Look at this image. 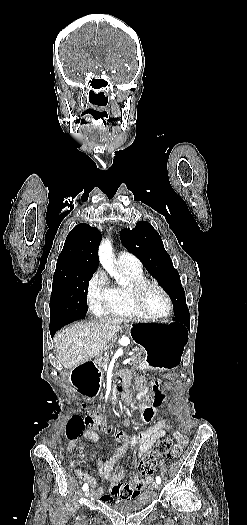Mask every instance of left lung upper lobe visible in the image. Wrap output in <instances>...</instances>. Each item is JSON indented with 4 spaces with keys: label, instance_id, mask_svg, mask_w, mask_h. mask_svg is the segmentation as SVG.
<instances>
[{
    "label": "left lung upper lobe",
    "instance_id": "left-lung-upper-lobe-1",
    "mask_svg": "<svg viewBox=\"0 0 247 525\" xmlns=\"http://www.w3.org/2000/svg\"><path fill=\"white\" fill-rule=\"evenodd\" d=\"M120 238L123 246L140 259L148 272L169 294L174 304L175 317L189 316L180 276L153 226L146 221H140L132 230L123 229Z\"/></svg>",
    "mask_w": 247,
    "mask_h": 525
}]
</instances>
